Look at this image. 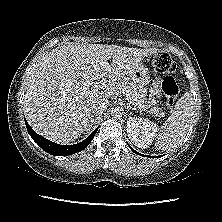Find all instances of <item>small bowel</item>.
<instances>
[{"mask_svg": "<svg viewBox=\"0 0 222 222\" xmlns=\"http://www.w3.org/2000/svg\"><path fill=\"white\" fill-rule=\"evenodd\" d=\"M152 94H153V95H158V94H159V87H158V85H156V86L154 87V89L152 90Z\"/></svg>", "mask_w": 222, "mask_h": 222, "instance_id": "1", "label": "small bowel"}]
</instances>
